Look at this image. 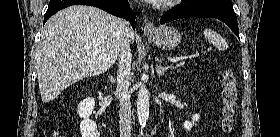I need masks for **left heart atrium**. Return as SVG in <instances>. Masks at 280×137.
I'll list each match as a JSON object with an SVG mask.
<instances>
[{"instance_id":"1","label":"left heart atrium","mask_w":280,"mask_h":137,"mask_svg":"<svg viewBox=\"0 0 280 137\" xmlns=\"http://www.w3.org/2000/svg\"><path fill=\"white\" fill-rule=\"evenodd\" d=\"M149 2H150L151 4H154V5H159V4L168 3L169 0H149Z\"/></svg>"}]
</instances>
